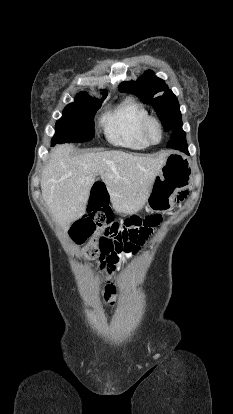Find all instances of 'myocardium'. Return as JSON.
Masks as SVG:
<instances>
[{
    "instance_id": "myocardium-1",
    "label": "myocardium",
    "mask_w": 233,
    "mask_h": 414,
    "mask_svg": "<svg viewBox=\"0 0 233 414\" xmlns=\"http://www.w3.org/2000/svg\"><path fill=\"white\" fill-rule=\"evenodd\" d=\"M156 126L159 131V138L158 140H153L150 134V129L152 126ZM142 131L144 134V137L150 144H156L159 143L163 138V126L160 120L154 116H148L142 125Z\"/></svg>"
}]
</instances>
